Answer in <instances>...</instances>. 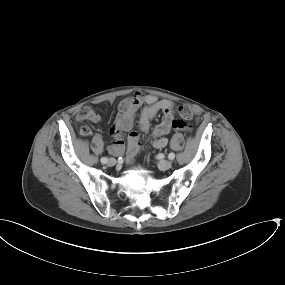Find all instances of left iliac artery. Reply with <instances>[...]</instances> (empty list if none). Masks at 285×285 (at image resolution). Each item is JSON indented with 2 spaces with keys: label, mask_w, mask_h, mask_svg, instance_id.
I'll use <instances>...</instances> for the list:
<instances>
[{
  "label": "left iliac artery",
  "mask_w": 285,
  "mask_h": 285,
  "mask_svg": "<svg viewBox=\"0 0 285 285\" xmlns=\"http://www.w3.org/2000/svg\"><path fill=\"white\" fill-rule=\"evenodd\" d=\"M175 158V154L173 152L168 154V159L173 160Z\"/></svg>",
  "instance_id": "44dca946"
}]
</instances>
